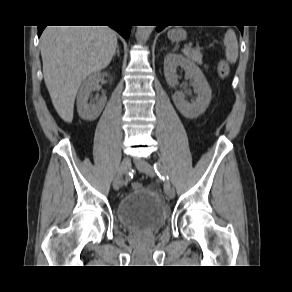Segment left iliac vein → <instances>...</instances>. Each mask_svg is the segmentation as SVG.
<instances>
[{
    "instance_id": "obj_1",
    "label": "left iliac vein",
    "mask_w": 292,
    "mask_h": 292,
    "mask_svg": "<svg viewBox=\"0 0 292 292\" xmlns=\"http://www.w3.org/2000/svg\"><path fill=\"white\" fill-rule=\"evenodd\" d=\"M136 167L138 168L139 171L142 173L153 177L155 175V171L153 167L146 161V160H136ZM166 194L169 199H173L175 197V190L174 188L170 187L167 191Z\"/></svg>"
}]
</instances>
